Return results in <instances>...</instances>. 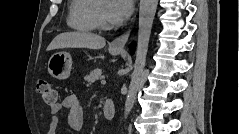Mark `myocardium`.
<instances>
[{"label": "myocardium", "mask_w": 239, "mask_h": 134, "mask_svg": "<svg viewBox=\"0 0 239 134\" xmlns=\"http://www.w3.org/2000/svg\"><path fill=\"white\" fill-rule=\"evenodd\" d=\"M100 1L101 0H96L95 4H94V8H93V16H94V20L96 23V26L102 30H109L112 28V25L107 23L101 13V9H100Z\"/></svg>", "instance_id": "f54148a6"}]
</instances>
